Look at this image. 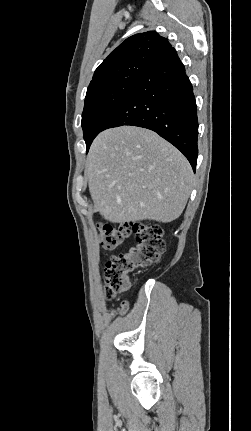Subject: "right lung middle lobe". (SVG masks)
<instances>
[{
    "label": "right lung middle lobe",
    "mask_w": 251,
    "mask_h": 431,
    "mask_svg": "<svg viewBox=\"0 0 251 431\" xmlns=\"http://www.w3.org/2000/svg\"><path fill=\"white\" fill-rule=\"evenodd\" d=\"M148 65L142 60L127 64L90 84L82 113V128L87 150L125 97L133 90Z\"/></svg>",
    "instance_id": "dd1d6c3e"
}]
</instances>
